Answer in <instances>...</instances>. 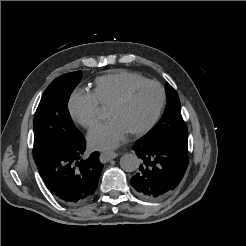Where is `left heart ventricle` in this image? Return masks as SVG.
Returning a JSON list of instances; mask_svg holds the SVG:
<instances>
[{"mask_svg":"<svg viewBox=\"0 0 246 246\" xmlns=\"http://www.w3.org/2000/svg\"><path fill=\"white\" fill-rule=\"evenodd\" d=\"M159 89L155 85H143L136 89L120 107L109 110L111 118L118 119L128 132L146 125L158 107Z\"/></svg>","mask_w":246,"mask_h":246,"instance_id":"b2bd125f","label":"left heart ventricle"}]
</instances>
